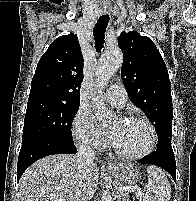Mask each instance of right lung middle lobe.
I'll list each match as a JSON object with an SVG mask.
<instances>
[{
  "instance_id": "right-lung-middle-lobe-1",
  "label": "right lung middle lobe",
  "mask_w": 196,
  "mask_h": 201,
  "mask_svg": "<svg viewBox=\"0 0 196 201\" xmlns=\"http://www.w3.org/2000/svg\"><path fill=\"white\" fill-rule=\"evenodd\" d=\"M79 105L48 100L28 101L22 143L38 137L73 142L71 122Z\"/></svg>"
}]
</instances>
